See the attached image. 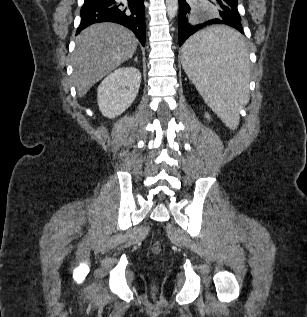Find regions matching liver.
Masks as SVG:
<instances>
[{
	"instance_id": "1",
	"label": "liver",
	"mask_w": 307,
	"mask_h": 317,
	"mask_svg": "<svg viewBox=\"0 0 307 317\" xmlns=\"http://www.w3.org/2000/svg\"><path fill=\"white\" fill-rule=\"evenodd\" d=\"M138 40L127 28L99 23L84 29L76 38L72 78L79 97L136 52Z\"/></svg>"
}]
</instances>
